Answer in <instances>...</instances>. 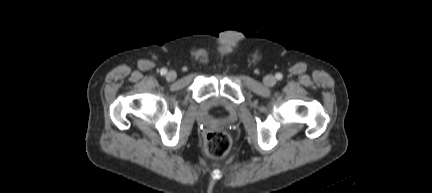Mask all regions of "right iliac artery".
<instances>
[{
    "label": "right iliac artery",
    "mask_w": 432,
    "mask_h": 193,
    "mask_svg": "<svg viewBox=\"0 0 432 193\" xmlns=\"http://www.w3.org/2000/svg\"><path fill=\"white\" fill-rule=\"evenodd\" d=\"M160 73H161V75H166V73H167V69H166V68H162V69L160 70Z\"/></svg>",
    "instance_id": "obj_1"
}]
</instances>
